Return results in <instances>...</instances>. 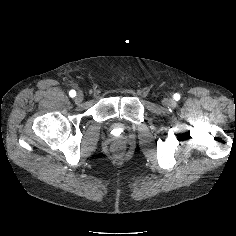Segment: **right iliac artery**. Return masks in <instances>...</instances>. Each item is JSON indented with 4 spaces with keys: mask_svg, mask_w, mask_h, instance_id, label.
<instances>
[{
    "mask_svg": "<svg viewBox=\"0 0 236 236\" xmlns=\"http://www.w3.org/2000/svg\"><path fill=\"white\" fill-rule=\"evenodd\" d=\"M69 95H70V97H75V96H76L75 90H71V91L69 92Z\"/></svg>",
    "mask_w": 236,
    "mask_h": 236,
    "instance_id": "82829eb1",
    "label": "right iliac artery"
}]
</instances>
